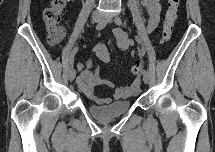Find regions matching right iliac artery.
Listing matches in <instances>:
<instances>
[{
    "instance_id": "obj_1",
    "label": "right iliac artery",
    "mask_w": 215,
    "mask_h": 152,
    "mask_svg": "<svg viewBox=\"0 0 215 152\" xmlns=\"http://www.w3.org/2000/svg\"><path fill=\"white\" fill-rule=\"evenodd\" d=\"M107 23H108V21H106V20H103V21L99 22V23L96 25V30H102L103 28L106 27ZM76 51H77V49H75V50L72 52L71 57H70L69 60L67 61V63L69 64V65H68L69 70H70V69H73V56L76 54Z\"/></svg>"
}]
</instances>
